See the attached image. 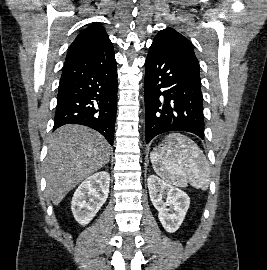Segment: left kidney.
Here are the masks:
<instances>
[{
	"label": "left kidney",
	"mask_w": 267,
	"mask_h": 270,
	"mask_svg": "<svg viewBox=\"0 0 267 270\" xmlns=\"http://www.w3.org/2000/svg\"><path fill=\"white\" fill-rule=\"evenodd\" d=\"M147 183L150 199L158 211L160 223L168 233L176 232L188 211L190 205L189 196L181 189L156 175H150ZM165 194L167 195L166 202L163 201Z\"/></svg>",
	"instance_id": "obj_1"
}]
</instances>
